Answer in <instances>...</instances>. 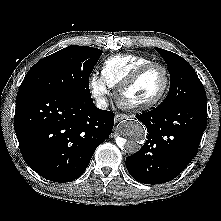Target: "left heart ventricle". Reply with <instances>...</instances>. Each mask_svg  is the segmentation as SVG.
I'll use <instances>...</instances> for the list:
<instances>
[{"mask_svg":"<svg viewBox=\"0 0 221 221\" xmlns=\"http://www.w3.org/2000/svg\"><path fill=\"white\" fill-rule=\"evenodd\" d=\"M165 82L161 68L154 67L148 70L131 88L124 99L129 103H142L154 98L163 88Z\"/></svg>","mask_w":221,"mask_h":221,"instance_id":"obj_1","label":"left heart ventricle"}]
</instances>
